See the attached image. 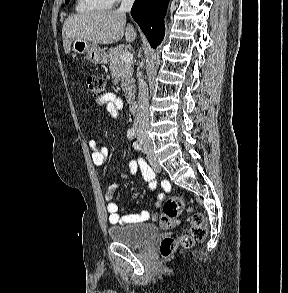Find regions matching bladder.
<instances>
[{
    "label": "bladder",
    "instance_id": "obj_1",
    "mask_svg": "<svg viewBox=\"0 0 288 293\" xmlns=\"http://www.w3.org/2000/svg\"><path fill=\"white\" fill-rule=\"evenodd\" d=\"M110 238L128 247H142L158 234L156 226L147 223L116 225L108 229Z\"/></svg>",
    "mask_w": 288,
    "mask_h": 293
}]
</instances>
